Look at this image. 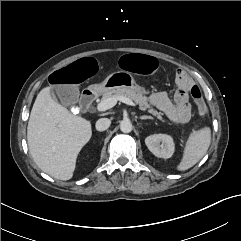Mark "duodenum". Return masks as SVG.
<instances>
[{"label":"duodenum","instance_id":"1","mask_svg":"<svg viewBox=\"0 0 241 241\" xmlns=\"http://www.w3.org/2000/svg\"><path fill=\"white\" fill-rule=\"evenodd\" d=\"M97 92L98 91L96 89H86L82 93L81 98H80V105L83 110L86 111L92 107V105L97 97Z\"/></svg>","mask_w":241,"mask_h":241}]
</instances>
